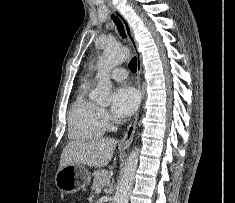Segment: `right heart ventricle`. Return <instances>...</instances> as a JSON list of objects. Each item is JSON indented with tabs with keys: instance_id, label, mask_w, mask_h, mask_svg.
<instances>
[{
	"instance_id": "right-heart-ventricle-1",
	"label": "right heart ventricle",
	"mask_w": 235,
	"mask_h": 203,
	"mask_svg": "<svg viewBox=\"0 0 235 203\" xmlns=\"http://www.w3.org/2000/svg\"><path fill=\"white\" fill-rule=\"evenodd\" d=\"M69 135L73 139L101 137L105 125L100 118V108L87 97V87L83 86L73 102L68 117Z\"/></svg>"
}]
</instances>
